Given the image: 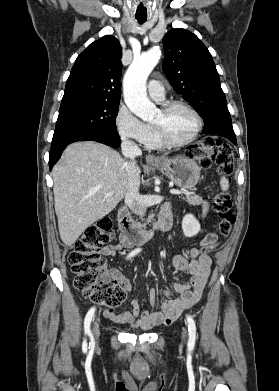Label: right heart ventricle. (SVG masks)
I'll use <instances>...</instances> for the list:
<instances>
[{
	"mask_svg": "<svg viewBox=\"0 0 279 391\" xmlns=\"http://www.w3.org/2000/svg\"><path fill=\"white\" fill-rule=\"evenodd\" d=\"M149 128H150V133H149L148 139L145 142V145L148 148H152V149L162 148L163 146L159 142L153 126H149Z\"/></svg>",
	"mask_w": 279,
	"mask_h": 391,
	"instance_id": "right-heart-ventricle-1",
	"label": "right heart ventricle"
}]
</instances>
